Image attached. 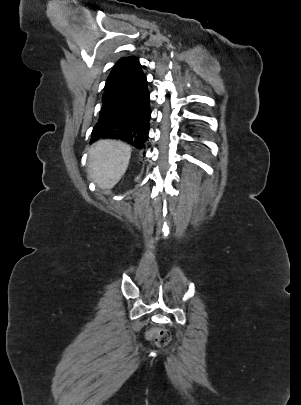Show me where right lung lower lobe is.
Listing matches in <instances>:
<instances>
[{
    "mask_svg": "<svg viewBox=\"0 0 301 405\" xmlns=\"http://www.w3.org/2000/svg\"><path fill=\"white\" fill-rule=\"evenodd\" d=\"M104 89L103 105L91 141L119 139L136 148H145L151 116L150 94L138 59Z\"/></svg>",
    "mask_w": 301,
    "mask_h": 405,
    "instance_id": "1",
    "label": "right lung lower lobe"
}]
</instances>
